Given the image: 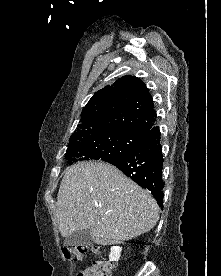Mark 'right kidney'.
Instances as JSON below:
<instances>
[{"mask_svg": "<svg viewBox=\"0 0 221 276\" xmlns=\"http://www.w3.org/2000/svg\"><path fill=\"white\" fill-rule=\"evenodd\" d=\"M121 251L122 248L119 246H113L111 248L110 254H109V259L110 261H118L121 256Z\"/></svg>", "mask_w": 221, "mask_h": 276, "instance_id": "1", "label": "right kidney"}]
</instances>
